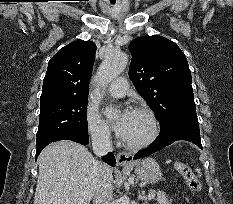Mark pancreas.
I'll list each match as a JSON object with an SVG mask.
<instances>
[{
    "label": "pancreas",
    "instance_id": "pancreas-1",
    "mask_svg": "<svg viewBox=\"0 0 233 204\" xmlns=\"http://www.w3.org/2000/svg\"><path fill=\"white\" fill-rule=\"evenodd\" d=\"M156 194H157L156 201L159 204H171L172 199L168 197L164 192L159 191Z\"/></svg>",
    "mask_w": 233,
    "mask_h": 204
}]
</instances>
